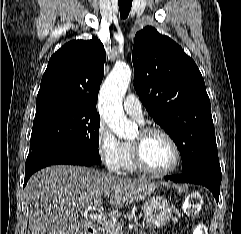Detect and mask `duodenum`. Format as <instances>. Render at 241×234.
Returning <instances> with one entry per match:
<instances>
[{
    "label": "duodenum",
    "mask_w": 241,
    "mask_h": 234,
    "mask_svg": "<svg viewBox=\"0 0 241 234\" xmlns=\"http://www.w3.org/2000/svg\"><path fill=\"white\" fill-rule=\"evenodd\" d=\"M82 234H98L97 228H96V226L94 224L88 223L83 228Z\"/></svg>",
    "instance_id": "duodenum-1"
}]
</instances>
